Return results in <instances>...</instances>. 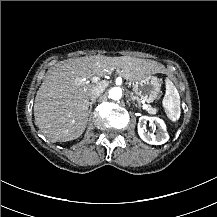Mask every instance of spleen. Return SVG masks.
<instances>
[{
	"label": "spleen",
	"instance_id": "3e777b00",
	"mask_svg": "<svg viewBox=\"0 0 217 217\" xmlns=\"http://www.w3.org/2000/svg\"><path fill=\"white\" fill-rule=\"evenodd\" d=\"M166 93L165 112L169 119L176 120L179 117V100L176 86L166 83Z\"/></svg>",
	"mask_w": 217,
	"mask_h": 217
}]
</instances>
